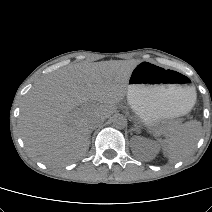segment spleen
<instances>
[{
  "instance_id": "obj_1",
  "label": "spleen",
  "mask_w": 212,
  "mask_h": 212,
  "mask_svg": "<svg viewBox=\"0 0 212 212\" xmlns=\"http://www.w3.org/2000/svg\"><path fill=\"white\" fill-rule=\"evenodd\" d=\"M201 132L200 122L190 121L183 124L163 145L164 155L170 162L185 159L195 148Z\"/></svg>"
}]
</instances>
